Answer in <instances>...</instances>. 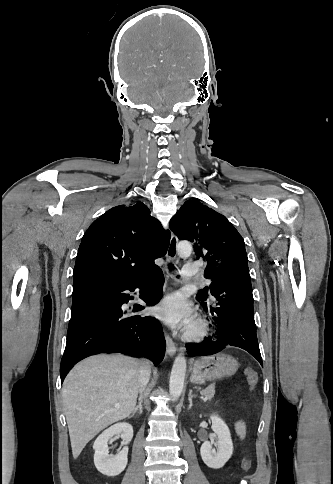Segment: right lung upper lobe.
<instances>
[{"mask_svg": "<svg viewBox=\"0 0 333 484\" xmlns=\"http://www.w3.org/2000/svg\"><path fill=\"white\" fill-rule=\"evenodd\" d=\"M169 242L170 232L163 230L142 202L113 207L82 237L73 285L98 280L136 281L157 267L154 260L166 254Z\"/></svg>", "mask_w": 333, "mask_h": 484, "instance_id": "cb5924a9", "label": "right lung upper lobe"}]
</instances>
